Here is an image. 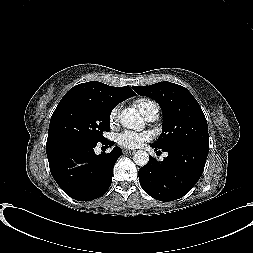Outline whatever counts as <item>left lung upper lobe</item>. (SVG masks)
<instances>
[{"label": "left lung upper lobe", "mask_w": 253, "mask_h": 253, "mask_svg": "<svg viewBox=\"0 0 253 253\" xmlns=\"http://www.w3.org/2000/svg\"><path fill=\"white\" fill-rule=\"evenodd\" d=\"M133 89L139 95L157 101L162 109L163 130L153 143L155 147L163 149L189 143L209 148L206 118L199 103L186 88L164 81Z\"/></svg>", "instance_id": "obj_1"}]
</instances>
